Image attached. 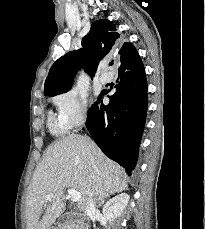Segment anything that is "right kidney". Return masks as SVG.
I'll return each mask as SVG.
<instances>
[{"instance_id":"ca27d5eb","label":"right kidney","mask_w":205,"mask_h":229,"mask_svg":"<svg viewBox=\"0 0 205 229\" xmlns=\"http://www.w3.org/2000/svg\"><path fill=\"white\" fill-rule=\"evenodd\" d=\"M129 195L122 193L114 198L110 199L104 206H103V214L106 220L113 221L115 218L121 215L123 210L128 204Z\"/></svg>"}]
</instances>
